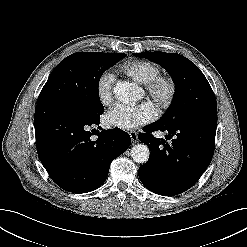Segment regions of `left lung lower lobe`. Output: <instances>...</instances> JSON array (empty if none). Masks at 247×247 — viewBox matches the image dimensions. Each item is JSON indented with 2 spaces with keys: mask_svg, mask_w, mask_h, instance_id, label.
<instances>
[{
  "mask_svg": "<svg viewBox=\"0 0 247 247\" xmlns=\"http://www.w3.org/2000/svg\"><path fill=\"white\" fill-rule=\"evenodd\" d=\"M217 120L194 119L166 125L158 121L144 127L138 138L151 155L139 168V178L150 191L174 196L191 188L209 166L215 146ZM155 130L166 131L170 143L155 138Z\"/></svg>",
  "mask_w": 247,
  "mask_h": 247,
  "instance_id": "1",
  "label": "left lung lower lobe"
}]
</instances>
